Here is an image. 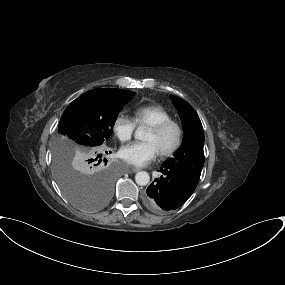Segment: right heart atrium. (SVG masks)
Instances as JSON below:
<instances>
[{
    "mask_svg": "<svg viewBox=\"0 0 285 285\" xmlns=\"http://www.w3.org/2000/svg\"><path fill=\"white\" fill-rule=\"evenodd\" d=\"M136 123L133 118L126 114H119L113 121V130L121 141L132 138Z\"/></svg>",
    "mask_w": 285,
    "mask_h": 285,
    "instance_id": "right-heart-atrium-1",
    "label": "right heart atrium"
}]
</instances>
